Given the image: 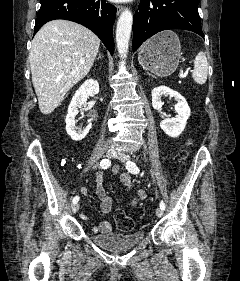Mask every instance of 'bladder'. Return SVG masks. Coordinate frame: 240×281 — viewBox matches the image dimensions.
Wrapping results in <instances>:
<instances>
[{
	"instance_id": "31cf9c89",
	"label": "bladder",
	"mask_w": 240,
	"mask_h": 281,
	"mask_svg": "<svg viewBox=\"0 0 240 281\" xmlns=\"http://www.w3.org/2000/svg\"><path fill=\"white\" fill-rule=\"evenodd\" d=\"M143 237L144 234L141 231L128 233L111 232L107 234H94L91 236V240L104 250L120 252L136 247Z\"/></svg>"
}]
</instances>
